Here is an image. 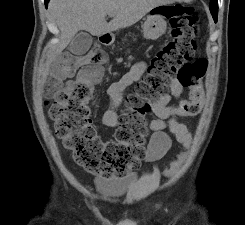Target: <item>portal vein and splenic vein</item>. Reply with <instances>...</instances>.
I'll return each instance as SVG.
<instances>
[{
	"instance_id": "18ae733b",
	"label": "portal vein and splenic vein",
	"mask_w": 245,
	"mask_h": 225,
	"mask_svg": "<svg viewBox=\"0 0 245 225\" xmlns=\"http://www.w3.org/2000/svg\"><path fill=\"white\" fill-rule=\"evenodd\" d=\"M108 15H109V17H114V14L113 13H110Z\"/></svg>"
}]
</instances>
